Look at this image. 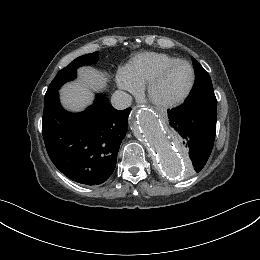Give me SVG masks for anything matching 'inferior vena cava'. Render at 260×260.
Returning <instances> with one entry per match:
<instances>
[{
  "mask_svg": "<svg viewBox=\"0 0 260 260\" xmlns=\"http://www.w3.org/2000/svg\"><path fill=\"white\" fill-rule=\"evenodd\" d=\"M132 103V97L124 91H115L111 97V104L115 109L123 110Z\"/></svg>",
  "mask_w": 260,
  "mask_h": 260,
  "instance_id": "inferior-vena-cava-1",
  "label": "inferior vena cava"
}]
</instances>
